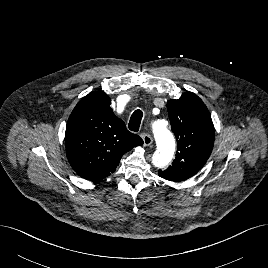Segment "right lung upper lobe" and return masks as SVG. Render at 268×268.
<instances>
[{
  "instance_id": "right-lung-upper-lobe-1",
  "label": "right lung upper lobe",
  "mask_w": 268,
  "mask_h": 268,
  "mask_svg": "<svg viewBox=\"0 0 268 268\" xmlns=\"http://www.w3.org/2000/svg\"><path fill=\"white\" fill-rule=\"evenodd\" d=\"M110 101L104 92H92L76 105L67 122V158L74 171L90 181L109 176L126 152L143 144L114 115Z\"/></svg>"
}]
</instances>
